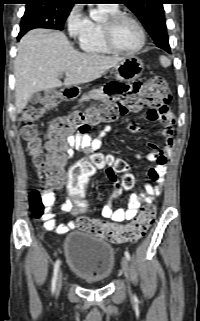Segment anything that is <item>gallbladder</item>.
I'll return each mask as SVG.
<instances>
[{
    "instance_id": "gallbladder-1",
    "label": "gallbladder",
    "mask_w": 200,
    "mask_h": 321,
    "mask_svg": "<svg viewBox=\"0 0 200 321\" xmlns=\"http://www.w3.org/2000/svg\"><path fill=\"white\" fill-rule=\"evenodd\" d=\"M41 99V94L40 93H34L30 99H29V102L31 104H37Z\"/></svg>"
}]
</instances>
